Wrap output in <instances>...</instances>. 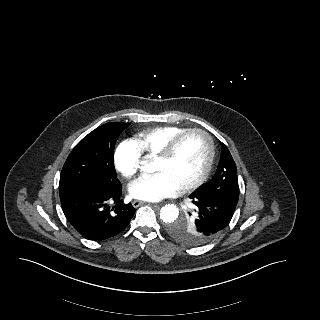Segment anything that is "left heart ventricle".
<instances>
[{
    "label": "left heart ventricle",
    "mask_w": 320,
    "mask_h": 320,
    "mask_svg": "<svg viewBox=\"0 0 320 320\" xmlns=\"http://www.w3.org/2000/svg\"><path fill=\"white\" fill-rule=\"evenodd\" d=\"M207 153L205 138L200 134H191L181 141L170 160H155L153 171L166 174L181 187L201 174Z\"/></svg>",
    "instance_id": "left-heart-ventricle-1"
}]
</instances>
